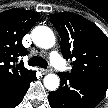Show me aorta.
<instances>
[{"label": "aorta", "mask_w": 108, "mask_h": 108, "mask_svg": "<svg viewBox=\"0 0 108 108\" xmlns=\"http://www.w3.org/2000/svg\"><path fill=\"white\" fill-rule=\"evenodd\" d=\"M34 44L40 48L49 49L55 44V35L47 26H37L31 33ZM60 85V79L56 74L49 73L44 77V86L49 91H55Z\"/></svg>", "instance_id": "1"}]
</instances>
